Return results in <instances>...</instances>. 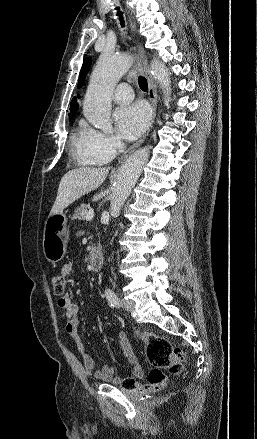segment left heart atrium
<instances>
[{
  "label": "left heart atrium",
  "mask_w": 257,
  "mask_h": 439,
  "mask_svg": "<svg viewBox=\"0 0 257 439\" xmlns=\"http://www.w3.org/2000/svg\"><path fill=\"white\" fill-rule=\"evenodd\" d=\"M114 117L122 136L133 139L146 129L150 119V110L145 103L136 102L118 108Z\"/></svg>",
  "instance_id": "1"
}]
</instances>
